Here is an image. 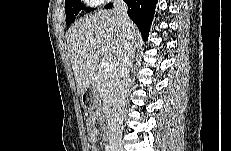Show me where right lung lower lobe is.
I'll return each instance as SVG.
<instances>
[{
	"instance_id": "1",
	"label": "right lung lower lobe",
	"mask_w": 231,
	"mask_h": 151,
	"mask_svg": "<svg viewBox=\"0 0 231 151\" xmlns=\"http://www.w3.org/2000/svg\"><path fill=\"white\" fill-rule=\"evenodd\" d=\"M128 5V15L139 28L144 40L148 38L157 0H124ZM108 4L106 8L112 7Z\"/></svg>"
}]
</instances>
